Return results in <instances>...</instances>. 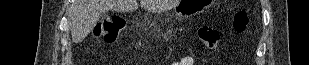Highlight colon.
Wrapping results in <instances>:
<instances>
[{
	"label": "colon",
	"mask_w": 309,
	"mask_h": 65,
	"mask_svg": "<svg viewBox=\"0 0 309 65\" xmlns=\"http://www.w3.org/2000/svg\"><path fill=\"white\" fill-rule=\"evenodd\" d=\"M249 23V15L246 11H237L232 18V28L236 33L245 31ZM126 27V20L119 15L104 17L98 26L96 36L105 44L114 43L120 31ZM224 36L221 28L214 25H202L198 30V37L201 43L208 49L218 46Z\"/></svg>",
	"instance_id": "obj_1"
}]
</instances>
